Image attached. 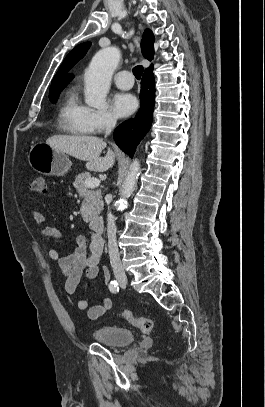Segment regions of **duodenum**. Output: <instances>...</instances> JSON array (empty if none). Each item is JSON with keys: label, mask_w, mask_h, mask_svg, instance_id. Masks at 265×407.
<instances>
[{"label": "duodenum", "mask_w": 265, "mask_h": 407, "mask_svg": "<svg viewBox=\"0 0 265 407\" xmlns=\"http://www.w3.org/2000/svg\"><path fill=\"white\" fill-rule=\"evenodd\" d=\"M90 227L97 233L102 234L104 232V221L101 217H94L90 221Z\"/></svg>", "instance_id": "410a0bca"}]
</instances>
